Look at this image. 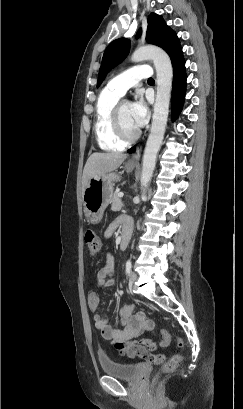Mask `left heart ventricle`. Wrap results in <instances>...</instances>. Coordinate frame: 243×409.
I'll use <instances>...</instances> for the list:
<instances>
[{
	"mask_svg": "<svg viewBox=\"0 0 243 409\" xmlns=\"http://www.w3.org/2000/svg\"><path fill=\"white\" fill-rule=\"evenodd\" d=\"M120 120H121L124 130L127 133L130 134L137 130V128L135 127L131 119L130 104L128 102H124L122 104V107L120 110Z\"/></svg>",
	"mask_w": 243,
	"mask_h": 409,
	"instance_id": "left-heart-ventricle-1",
	"label": "left heart ventricle"
}]
</instances>
